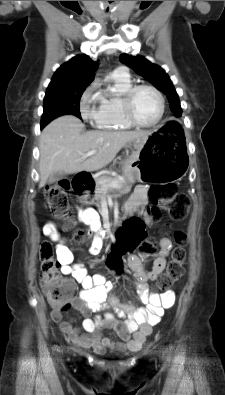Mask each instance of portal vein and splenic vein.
<instances>
[{"instance_id": "1", "label": "portal vein and splenic vein", "mask_w": 225, "mask_h": 395, "mask_svg": "<svg viewBox=\"0 0 225 395\" xmlns=\"http://www.w3.org/2000/svg\"><path fill=\"white\" fill-rule=\"evenodd\" d=\"M96 153V150H91L87 152L86 154L83 155V158H88ZM108 186L113 187V188H120L121 186L117 181H112L108 184Z\"/></svg>"}]
</instances>
